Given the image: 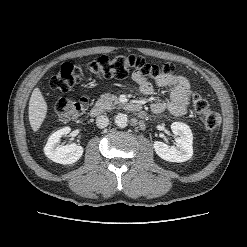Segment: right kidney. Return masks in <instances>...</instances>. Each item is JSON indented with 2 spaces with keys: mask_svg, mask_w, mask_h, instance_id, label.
Returning a JSON list of instances; mask_svg holds the SVG:
<instances>
[{
  "mask_svg": "<svg viewBox=\"0 0 247 247\" xmlns=\"http://www.w3.org/2000/svg\"><path fill=\"white\" fill-rule=\"evenodd\" d=\"M69 127H64L54 132L48 139L45 147V155L53 162L60 164H72L77 162L84 149L82 146L76 145L75 143L69 145H59L60 138L70 132Z\"/></svg>",
  "mask_w": 247,
  "mask_h": 247,
  "instance_id": "obj_1",
  "label": "right kidney"
}]
</instances>
